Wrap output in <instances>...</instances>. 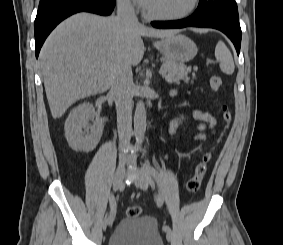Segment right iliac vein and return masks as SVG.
<instances>
[{
	"mask_svg": "<svg viewBox=\"0 0 283 245\" xmlns=\"http://www.w3.org/2000/svg\"><path fill=\"white\" fill-rule=\"evenodd\" d=\"M127 161L126 160H121L119 163V166L115 172L114 179H113V189L115 191L119 190V188L122 185V181L124 178V172H125V165ZM112 223V219L108 216H105L102 222V229L105 231L107 229V226Z\"/></svg>",
	"mask_w": 283,
	"mask_h": 245,
	"instance_id": "obj_1",
	"label": "right iliac vein"
}]
</instances>
